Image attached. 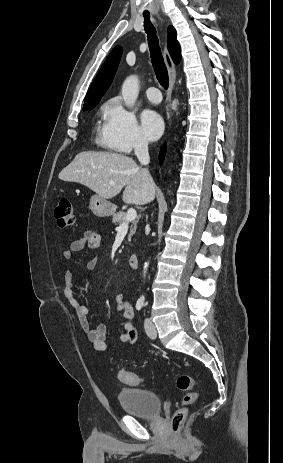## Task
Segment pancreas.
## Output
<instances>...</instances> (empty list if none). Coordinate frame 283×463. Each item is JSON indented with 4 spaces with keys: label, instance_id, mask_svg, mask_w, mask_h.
I'll return each mask as SVG.
<instances>
[{
    "label": "pancreas",
    "instance_id": "pancreas-1",
    "mask_svg": "<svg viewBox=\"0 0 283 463\" xmlns=\"http://www.w3.org/2000/svg\"><path fill=\"white\" fill-rule=\"evenodd\" d=\"M112 222L114 224H122V223H127L126 221V213L125 212H117V213H114L113 214V217H112ZM136 226H137V221L136 220H133L131 222V226H130V232H129V235H128V240L130 241L131 240V237L135 234L136 232Z\"/></svg>",
    "mask_w": 283,
    "mask_h": 463
}]
</instances>
